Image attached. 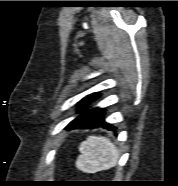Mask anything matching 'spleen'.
Listing matches in <instances>:
<instances>
[{"label":"spleen","instance_id":"1","mask_svg":"<svg viewBox=\"0 0 178 186\" xmlns=\"http://www.w3.org/2000/svg\"><path fill=\"white\" fill-rule=\"evenodd\" d=\"M81 155L76 166L86 173H95L114 167L119 159L115 145L106 137L89 136L79 146Z\"/></svg>","mask_w":178,"mask_h":186}]
</instances>
